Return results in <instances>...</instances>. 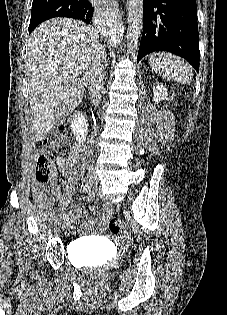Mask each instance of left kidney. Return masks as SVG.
I'll list each match as a JSON object with an SVG mask.
<instances>
[{
  "label": "left kidney",
  "mask_w": 227,
  "mask_h": 315,
  "mask_svg": "<svg viewBox=\"0 0 227 315\" xmlns=\"http://www.w3.org/2000/svg\"><path fill=\"white\" fill-rule=\"evenodd\" d=\"M153 93H154V97L153 100L158 103L162 100H167V90L163 85H157L155 87H153Z\"/></svg>",
  "instance_id": "5707ae66"
}]
</instances>
